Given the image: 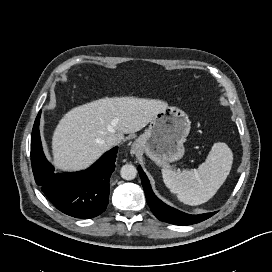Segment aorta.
Masks as SVG:
<instances>
[{
	"label": "aorta",
	"mask_w": 272,
	"mask_h": 272,
	"mask_svg": "<svg viewBox=\"0 0 272 272\" xmlns=\"http://www.w3.org/2000/svg\"><path fill=\"white\" fill-rule=\"evenodd\" d=\"M120 175L125 180H133L137 175V169L132 164L122 166Z\"/></svg>",
	"instance_id": "762f6f07"
}]
</instances>
